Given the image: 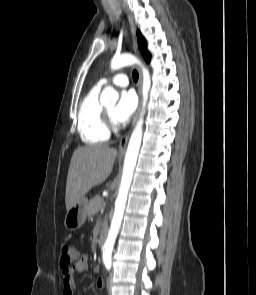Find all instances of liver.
<instances>
[{
    "label": "liver",
    "instance_id": "obj_1",
    "mask_svg": "<svg viewBox=\"0 0 256 295\" xmlns=\"http://www.w3.org/2000/svg\"><path fill=\"white\" fill-rule=\"evenodd\" d=\"M116 156L117 150L107 145H89L74 151L66 182L67 210L83 199L92 187L107 179Z\"/></svg>",
    "mask_w": 256,
    "mask_h": 295
}]
</instances>
